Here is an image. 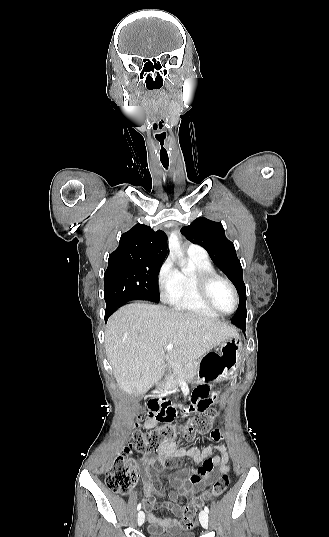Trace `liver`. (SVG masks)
<instances>
[{
	"mask_svg": "<svg viewBox=\"0 0 329 537\" xmlns=\"http://www.w3.org/2000/svg\"><path fill=\"white\" fill-rule=\"evenodd\" d=\"M235 335L236 328L227 323L137 302L109 318L105 350L118 387L141 396L161 379L165 360L169 367H180ZM170 343L173 348L165 352Z\"/></svg>",
	"mask_w": 329,
	"mask_h": 537,
	"instance_id": "obj_1",
	"label": "liver"
}]
</instances>
